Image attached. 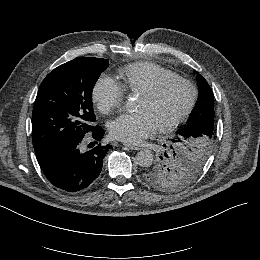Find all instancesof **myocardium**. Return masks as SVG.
<instances>
[{"instance_id": "f54148a6", "label": "myocardium", "mask_w": 260, "mask_h": 260, "mask_svg": "<svg viewBox=\"0 0 260 260\" xmlns=\"http://www.w3.org/2000/svg\"><path fill=\"white\" fill-rule=\"evenodd\" d=\"M173 82H180L188 86L191 90V98L186 108L178 116H176L175 118H173L168 122H165L157 126V130L160 132L167 131L179 126L182 122L186 120V118L189 117L198 100L197 86L187 78L179 75H175V76L160 79L159 82L154 87L143 90L139 93L148 97H156L159 94H161L169 84Z\"/></svg>"}]
</instances>
